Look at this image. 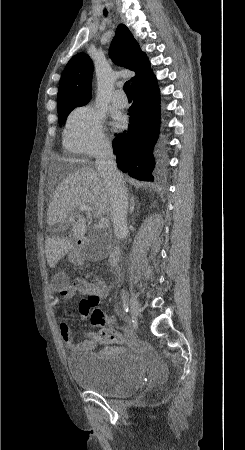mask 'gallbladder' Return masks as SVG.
Wrapping results in <instances>:
<instances>
[{
	"label": "gallbladder",
	"mask_w": 245,
	"mask_h": 450,
	"mask_svg": "<svg viewBox=\"0 0 245 450\" xmlns=\"http://www.w3.org/2000/svg\"><path fill=\"white\" fill-rule=\"evenodd\" d=\"M101 251H102V250H101V247H98V246H89V247H88L87 255H88L90 258H93V257L100 258Z\"/></svg>",
	"instance_id": "gallbladder-1"
}]
</instances>
